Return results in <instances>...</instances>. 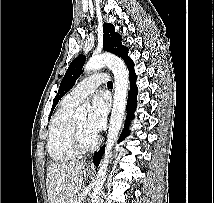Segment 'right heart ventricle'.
<instances>
[{"instance_id": "right-heart-ventricle-1", "label": "right heart ventricle", "mask_w": 214, "mask_h": 203, "mask_svg": "<svg viewBox=\"0 0 214 203\" xmlns=\"http://www.w3.org/2000/svg\"><path fill=\"white\" fill-rule=\"evenodd\" d=\"M76 105L77 103L72 102L65 96L50 122L47 150L51 159L55 162H68L78 155L73 150L70 142L72 121L69 114Z\"/></svg>"}]
</instances>
